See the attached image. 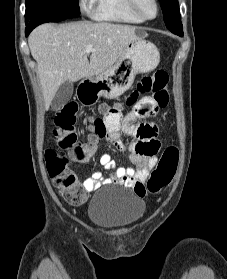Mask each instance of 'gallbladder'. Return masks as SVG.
I'll return each mask as SVG.
<instances>
[{"label": "gallbladder", "mask_w": 227, "mask_h": 279, "mask_svg": "<svg viewBox=\"0 0 227 279\" xmlns=\"http://www.w3.org/2000/svg\"><path fill=\"white\" fill-rule=\"evenodd\" d=\"M72 95H73V83L70 81L63 82L59 86V88L51 102V107L54 110L61 109L64 105H66L69 102Z\"/></svg>", "instance_id": "gallbladder-1"}]
</instances>
